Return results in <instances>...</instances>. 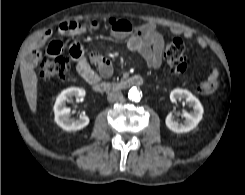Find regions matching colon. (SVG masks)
I'll return each instance as SVG.
<instances>
[{
    "label": "colon",
    "mask_w": 245,
    "mask_h": 195,
    "mask_svg": "<svg viewBox=\"0 0 245 195\" xmlns=\"http://www.w3.org/2000/svg\"><path fill=\"white\" fill-rule=\"evenodd\" d=\"M164 56L172 73L179 74L186 70L184 44L181 39L175 38L168 42L164 48ZM68 71V61L61 56H52L41 61L40 77L44 81L64 79Z\"/></svg>",
    "instance_id": "5ec220e1"
}]
</instances>
